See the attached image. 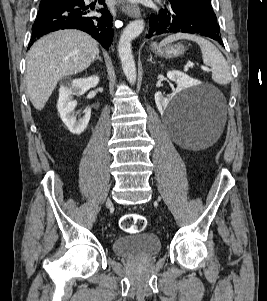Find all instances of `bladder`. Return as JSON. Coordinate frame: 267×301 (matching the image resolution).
Wrapping results in <instances>:
<instances>
[{
  "instance_id": "31cf9c89",
  "label": "bladder",
  "mask_w": 267,
  "mask_h": 301,
  "mask_svg": "<svg viewBox=\"0 0 267 301\" xmlns=\"http://www.w3.org/2000/svg\"><path fill=\"white\" fill-rule=\"evenodd\" d=\"M162 248L160 238L153 233L120 236L113 240L112 250L118 256L148 258L157 255Z\"/></svg>"
}]
</instances>
